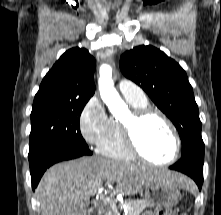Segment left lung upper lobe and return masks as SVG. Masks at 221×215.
Wrapping results in <instances>:
<instances>
[{"label": "left lung upper lobe", "mask_w": 221, "mask_h": 215, "mask_svg": "<svg viewBox=\"0 0 221 215\" xmlns=\"http://www.w3.org/2000/svg\"><path fill=\"white\" fill-rule=\"evenodd\" d=\"M120 69L171 119L181 138V156L204 153L198 106L183 68L160 49L141 45L121 56Z\"/></svg>", "instance_id": "obj_1"}]
</instances>
